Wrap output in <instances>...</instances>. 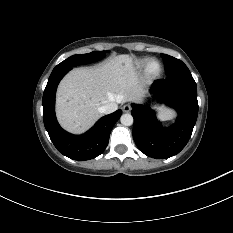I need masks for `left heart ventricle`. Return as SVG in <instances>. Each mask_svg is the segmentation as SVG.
I'll return each mask as SVG.
<instances>
[{
    "label": "left heart ventricle",
    "mask_w": 233,
    "mask_h": 233,
    "mask_svg": "<svg viewBox=\"0 0 233 233\" xmlns=\"http://www.w3.org/2000/svg\"><path fill=\"white\" fill-rule=\"evenodd\" d=\"M158 64L157 63H153L152 65H151V70L152 71H157L158 70Z\"/></svg>",
    "instance_id": "b2bd125f"
}]
</instances>
